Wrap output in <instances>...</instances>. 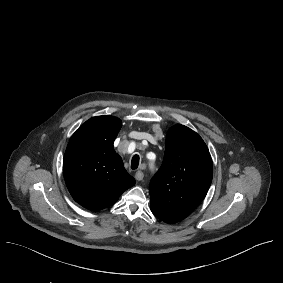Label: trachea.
I'll use <instances>...</instances> for the list:
<instances>
[{"instance_id":"3493384b","label":"trachea","mask_w":283,"mask_h":283,"mask_svg":"<svg viewBox=\"0 0 283 283\" xmlns=\"http://www.w3.org/2000/svg\"><path fill=\"white\" fill-rule=\"evenodd\" d=\"M139 161H140V157L139 155H134L131 159V169L136 170L138 168L139 165Z\"/></svg>"}]
</instances>
